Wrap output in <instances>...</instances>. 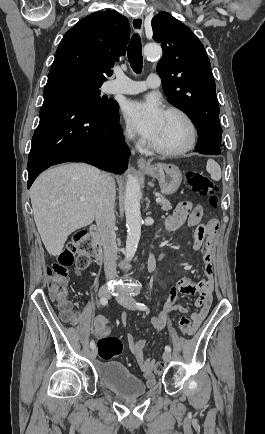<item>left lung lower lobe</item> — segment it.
I'll return each mask as SVG.
<instances>
[{
	"instance_id": "left-lung-lower-lobe-1",
	"label": "left lung lower lobe",
	"mask_w": 265,
	"mask_h": 434,
	"mask_svg": "<svg viewBox=\"0 0 265 434\" xmlns=\"http://www.w3.org/2000/svg\"><path fill=\"white\" fill-rule=\"evenodd\" d=\"M223 145L213 141L212 139L199 137L195 151L206 155H218L222 151Z\"/></svg>"
}]
</instances>
